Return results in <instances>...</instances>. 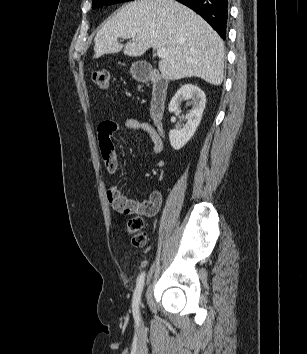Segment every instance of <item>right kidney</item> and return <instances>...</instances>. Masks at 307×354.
<instances>
[{
	"instance_id": "obj_1",
	"label": "right kidney",
	"mask_w": 307,
	"mask_h": 354,
	"mask_svg": "<svg viewBox=\"0 0 307 354\" xmlns=\"http://www.w3.org/2000/svg\"><path fill=\"white\" fill-rule=\"evenodd\" d=\"M190 100L192 109L188 121L181 130H170L169 140L175 150L181 149L194 135L199 126L206 103L205 93L196 85L185 84L174 95L169 104V112L179 111L183 101Z\"/></svg>"
}]
</instances>
